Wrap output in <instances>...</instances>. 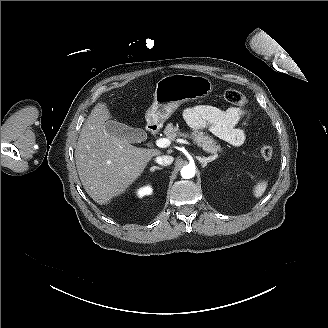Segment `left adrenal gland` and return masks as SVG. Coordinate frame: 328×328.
Instances as JSON below:
<instances>
[{"mask_svg": "<svg viewBox=\"0 0 328 328\" xmlns=\"http://www.w3.org/2000/svg\"><path fill=\"white\" fill-rule=\"evenodd\" d=\"M196 159L202 162L203 168H205L209 162L214 161L213 158H201L200 156H196Z\"/></svg>", "mask_w": 328, "mask_h": 328, "instance_id": "1", "label": "left adrenal gland"}]
</instances>
